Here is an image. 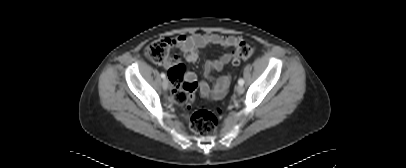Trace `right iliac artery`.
Wrapping results in <instances>:
<instances>
[{
	"label": "right iliac artery",
	"instance_id": "1",
	"mask_svg": "<svg viewBox=\"0 0 406 168\" xmlns=\"http://www.w3.org/2000/svg\"><path fill=\"white\" fill-rule=\"evenodd\" d=\"M161 77H162V78H165L166 75H165L164 73H161Z\"/></svg>",
	"mask_w": 406,
	"mask_h": 168
}]
</instances>
